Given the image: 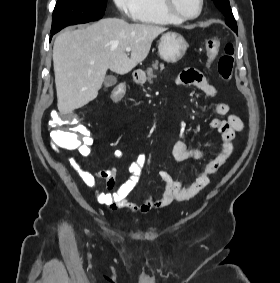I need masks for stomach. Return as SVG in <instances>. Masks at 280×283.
Segmentation results:
<instances>
[{"label": "stomach", "instance_id": "obj_1", "mask_svg": "<svg viewBox=\"0 0 280 283\" xmlns=\"http://www.w3.org/2000/svg\"><path fill=\"white\" fill-rule=\"evenodd\" d=\"M188 48V43L184 37L177 32H167L160 38L158 53L162 60L168 63L180 61Z\"/></svg>", "mask_w": 280, "mask_h": 283}]
</instances>
